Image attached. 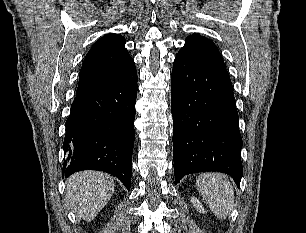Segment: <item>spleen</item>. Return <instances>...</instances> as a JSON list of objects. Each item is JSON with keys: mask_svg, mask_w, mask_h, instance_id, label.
Wrapping results in <instances>:
<instances>
[{"mask_svg": "<svg viewBox=\"0 0 306 233\" xmlns=\"http://www.w3.org/2000/svg\"><path fill=\"white\" fill-rule=\"evenodd\" d=\"M196 188L217 218L224 219L231 212L235 197L226 175L217 172L200 174Z\"/></svg>", "mask_w": 306, "mask_h": 233, "instance_id": "3e777b00", "label": "spleen"}]
</instances>
